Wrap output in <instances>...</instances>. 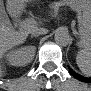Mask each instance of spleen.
<instances>
[{
  "mask_svg": "<svg viewBox=\"0 0 91 91\" xmlns=\"http://www.w3.org/2000/svg\"><path fill=\"white\" fill-rule=\"evenodd\" d=\"M76 61L83 73L90 74L91 52L89 48L81 49L77 54Z\"/></svg>",
  "mask_w": 91,
  "mask_h": 91,
  "instance_id": "1",
  "label": "spleen"
}]
</instances>
